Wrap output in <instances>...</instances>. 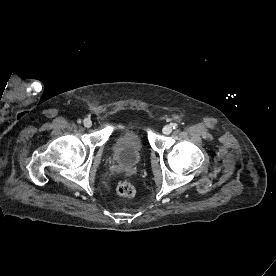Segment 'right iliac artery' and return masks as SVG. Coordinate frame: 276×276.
Segmentation results:
<instances>
[{"label":"right iliac artery","mask_w":276,"mask_h":276,"mask_svg":"<svg viewBox=\"0 0 276 276\" xmlns=\"http://www.w3.org/2000/svg\"><path fill=\"white\" fill-rule=\"evenodd\" d=\"M77 123H79V124H80V123H81V120H80V119H78V120H77Z\"/></svg>","instance_id":"right-iliac-artery-1"}]
</instances>
